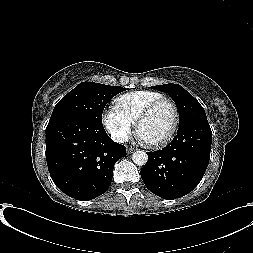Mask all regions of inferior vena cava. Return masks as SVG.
Listing matches in <instances>:
<instances>
[{
	"instance_id": "inferior-vena-cava-1",
	"label": "inferior vena cava",
	"mask_w": 253,
	"mask_h": 253,
	"mask_svg": "<svg viewBox=\"0 0 253 253\" xmlns=\"http://www.w3.org/2000/svg\"><path fill=\"white\" fill-rule=\"evenodd\" d=\"M114 139L116 142L124 143L128 141V136H116Z\"/></svg>"
}]
</instances>
